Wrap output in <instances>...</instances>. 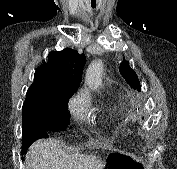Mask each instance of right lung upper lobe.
<instances>
[{"label":"right lung upper lobe","instance_id":"obj_1","mask_svg":"<svg viewBox=\"0 0 177 169\" xmlns=\"http://www.w3.org/2000/svg\"><path fill=\"white\" fill-rule=\"evenodd\" d=\"M85 61L84 54L70 48L50 52L48 62L34 74V83L27 91L25 103L69 100L80 84Z\"/></svg>","mask_w":177,"mask_h":169}]
</instances>
